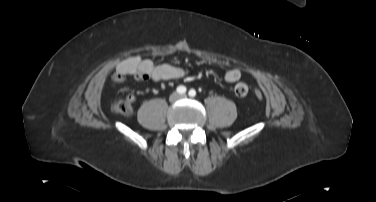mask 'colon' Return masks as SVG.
I'll use <instances>...</instances> for the list:
<instances>
[{
	"label": "colon",
	"instance_id": "colon-1",
	"mask_svg": "<svg viewBox=\"0 0 376 202\" xmlns=\"http://www.w3.org/2000/svg\"><path fill=\"white\" fill-rule=\"evenodd\" d=\"M255 96L257 99L261 100L263 98V93L260 90H257ZM133 102L134 97L128 94L114 104V111L121 115H130L133 112Z\"/></svg>",
	"mask_w": 376,
	"mask_h": 202
}]
</instances>
